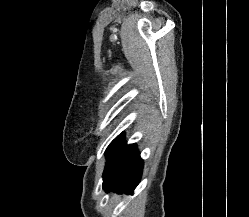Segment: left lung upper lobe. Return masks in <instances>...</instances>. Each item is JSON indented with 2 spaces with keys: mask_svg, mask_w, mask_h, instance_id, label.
Wrapping results in <instances>:
<instances>
[{
  "mask_svg": "<svg viewBox=\"0 0 249 217\" xmlns=\"http://www.w3.org/2000/svg\"><path fill=\"white\" fill-rule=\"evenodd\" d=\"M117 142H118V137L115 138L110 145L108 146V148L105 151L106 157H107V162H106V166H105V170H104V174L108 175L111 171V168L113 166V161L115 158V153H116V149H117Z\"/></svg>",
  "mask_w": 249,
  "mask_h": 217,
  "instance_id": "1",
  "label": "left lung upper lobe"
}]
</instances>
